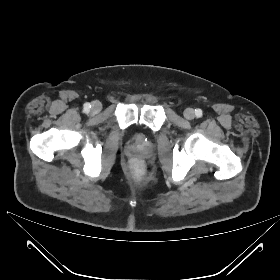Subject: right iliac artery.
<instances>
[{"label":"right iliac artery","instance_id":"right-iliac-artery-1","mask_svg":"<svg viewBox=\"0 0 280 280\" xmlns=\"http://www.w3.org/2000/svg\"><path fill=\"white\" fill-rule=\"evenodd\" d=\"M90 107H91V105H90L89 103H86V104L84 105V109H85V110H88Z\"/></svg>","mask_w":280,"mask_h":280}]
</instances>
